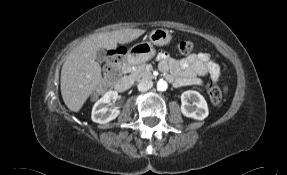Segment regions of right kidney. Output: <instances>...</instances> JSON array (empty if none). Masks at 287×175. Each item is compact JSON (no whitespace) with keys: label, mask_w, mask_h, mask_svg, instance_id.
Here are the masks:
<instances>
[{"label":"right kidney","mask_w":287,"mask_h":175,"mask_svg":"<svg viewBox=\"0 0 287 175\" xmlns=\"http://www.w3.org/2000/svg\"><path fill=\"white\" fill-rule=\"evenodd\" d=\"M117 98V91L106 92L93 106L91 114L92 121L105 124L115 119L120 114V110L118 107H109Z\"/></svg>","instance_id":"ca27d5eb"}]
</instances>
